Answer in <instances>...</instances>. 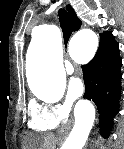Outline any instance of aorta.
Instances as JSON below:
<instances>
[{
    "instance_id": "762f6f07",
    "label": "aorta",
    "mask_w": 124,
    "mask_h": 149,
    "mask_svg": "<svg viewBox=\"0 0 124 149\" xmlns=\"http://www.w3.org/2000/svg\"><path fill=\"white\" fill-rule=\"evenodd\" d=\"M98 36L91 29L78 31L71 39V50L94 53ZM38 57L29 74L32 93L47 101L62 97L66 86V75L61 60V39L59 29L44 25L39 29L36 41L32 43ZM75 123L62 149H83L95 120V108L90 101L81 100L75 108Z\"/></svg>"
}]
</instances>
